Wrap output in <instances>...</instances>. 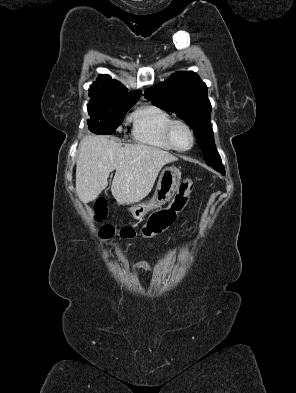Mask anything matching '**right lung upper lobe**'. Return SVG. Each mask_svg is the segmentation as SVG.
Segmentation results:
<instances>
[{"instance_id":"obj_1","label":"right lung upper lobe","mask_w":296,"mask_h":393,"mask_svg":"<svg viewBox=\"0 0 296 393\" xmlns=\"http://www.w3.org/2000/svg\"><path fill=\"white\" fill-rule=\"evenodd\" d=\"M140 91L128 93L127 89L118 81L108 75H100L89 89V102H102L110 100L137 101Z\"/></svg>"}]
</instances>
